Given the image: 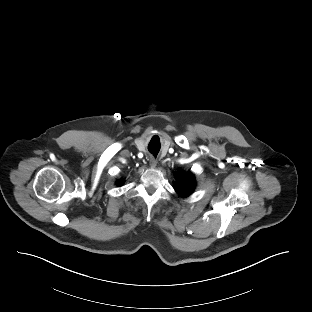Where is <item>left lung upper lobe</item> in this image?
<instances>
[{
	"mask_svg": "<svg viewBox=\"0 0 312 312\" xmlns=\"http://www.w3.org/2000/svg\"><path fill=\"white\" fill-rule=\"evenodd\" d=\"M175 175L176 183L174 188L176 192L182 197L190 195L194 191L196 184L194 175L191 172L182 174L176 173Z\"/></svg>",
	"mask_w": 312,
	"mask_h": 312,
	"instance_id": "5c2ea615",
	"label": "left lung upper lobe"
}]
</instances>
